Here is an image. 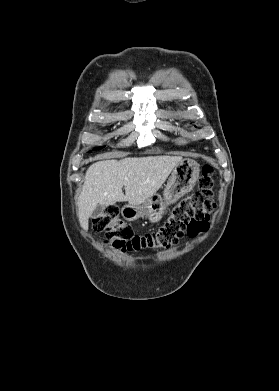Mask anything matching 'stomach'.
<instances>
[{"label": "stomach", "instance_id": "0dacf381", "mask_svg": "<svg viewBox=\"0 0 279 391\" xmlns=\"http://www.w3.org/2000/svg\"><path fill=\"white\" fill-rule=\"evenodd\" d=\"M199 164L192 159H182L173 168L163 196L154 194L141 205H125L121 214L128 221L147 218L155 223L161 220L166 207L190 192L199 178Z\"/></svg>", "mask_w": 279, "mask_h": 391}]
</instances>
